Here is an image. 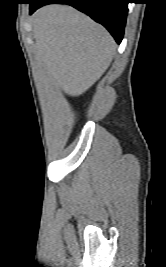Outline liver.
<instances>
[{"mask_svg": "<svg viewBox=\"0 0 166 267\" xmlns=\"http://www.w3.org/2000/svg\"><path fill=\"white\" fill-rule=\"evenodd\" d=\"M36 58L55 85L70 96L91 87L116 53L109 32L88 16L65 5L39 9L33 18Z\"/></svg>", "mask_w": 166, "mask_h": 267, "instance_id": "liver-1", "label": "liver"}]
</instances>
